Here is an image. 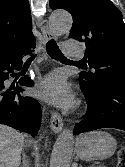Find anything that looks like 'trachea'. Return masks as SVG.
Wrapping results in <instances>:
<instances>
[{
    "label": "trachea",
    "mask_w": 125,
    "mask_h": 167,
    "mask_svg": "<svg viewBox=\"0 0 125 167\" xmlns=\"http://www.w3.org/2000/svg\"><path fill=\"white\" fill-rule=\"evenodd\" d=\"M46 48H47V53L49 54L50 57H52L56 60L70 62V60H68L67 58L64 57V55L60 51L59 47L57 46L55 40L48 41ZM34 58H35V56L30 57L25 62V65L31 64V62L34 60Z\"/></svg>",
    "instance_id": "trachea-1"
}]
</instances>
